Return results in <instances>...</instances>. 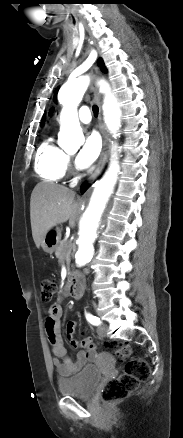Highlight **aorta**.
<instances>
[{"label":"aorta","instance_id":"762f6f07","mask_svg":"<svg viewBox=\"0 0 183 438\" xmlns=\"http://www.w3.org/2000/svg\"><path fill=\"white\" fill-rule=\"evenodd\" d=\"M88 84L89 78L80 76L76 79H68L59 90L58 100L63 108L60 114L58 143L63 149H67L70 142H76L81 132L77 106L82 100ZM104 91L106 92L103 106L105 122L109 129L115 133L120 127L121 111L107 85L104 86ZM118 171L119 165L114 160L108 172L96 184L88 199V205L80 217L78 250L75 254V263L79 267L87 265L94 257L93 243L99 236L106 219Z\"/></svg>","mask_w":183,"mask_h":438}]
</instances>
